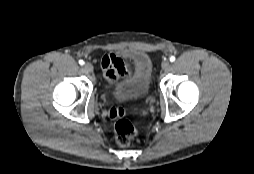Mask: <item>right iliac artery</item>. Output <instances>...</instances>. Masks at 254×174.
Segmentation results:
<instances>
[{
    "mask_svg": "<svg viewBox=\"0 0 254 174\" xmlns=\"http://www.w3.org/2000/svg\"><path fill=\"white\" fill-rule=\"evenodd\" d=\"M79 64H80V65H83V64H84V61H83V60H79Z\"/></svg>",
    "mask_w": 254,
    "mask_h": 174,
    "instance_id": "82829eb1",
    "label": "right iliac artery"
}]
</instances>
